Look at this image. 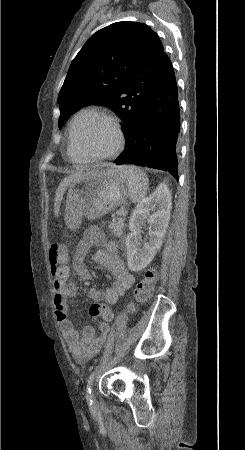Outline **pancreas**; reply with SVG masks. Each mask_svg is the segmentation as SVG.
Returning a JSON list of instances; mask_svg holds the SVG:
<instances>
[{"label":"pancreas","instance_id":"1","mask_svg":"<svg viewBox=\"0 0 245 450\" xmlns=\"http://www.w3.org/2000/svg\"><path fill=\"white\" fill-rule=\"evenodd\" d=\"M124 222L125 218H113L112 222L109 224V228L112 230L114 236L120 237L123 234L125 228Z\"/></svg>","mask_w":245,"mask_h":450}]
</instances>
